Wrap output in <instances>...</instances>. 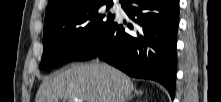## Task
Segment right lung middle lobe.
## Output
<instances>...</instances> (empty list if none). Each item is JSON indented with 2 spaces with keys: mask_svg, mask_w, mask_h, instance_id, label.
I'll use <instances>...</instances> for the list:
<instances>
[{
  "mask_svg": "<svg viewBox=\"0 0 221 102\" xmlns=\"http://www.w3.org/2000/svg\"><path fill=\"white\" fill-rule=\"evenodd\" d=\"M104 4L109 9L112 2H75L45 21L41 69L74 60L104 34L115 21L114 14L103 11Z\"/></svg>",
  "mask_w": 221,
  "mask_h": 102,
  "instance_id": "1",
  "label": "right lung middle lobe"
}]
</instances>
